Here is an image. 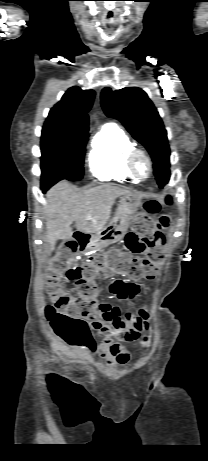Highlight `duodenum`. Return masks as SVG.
<instances>
[{"mask_svg": "<svg viewBox=\"0 0 208 461\" xmlns=\"http://www.w3.org/2000/svg\"><path fill=\"white\" fill-rule=\"evenodd\" d=\"M83 237H84L85 239H89V235H87V234L83 235Z\"/></svg>", "mask_w": 208, "mask_h": 461, "instance_id": "410a0bca", "label": "duodenum"}]
</instances>
